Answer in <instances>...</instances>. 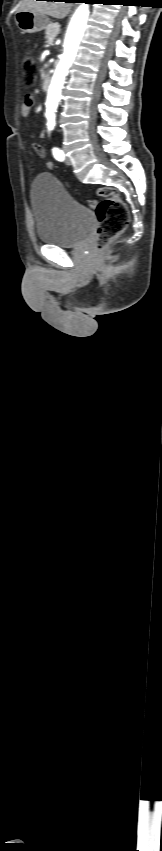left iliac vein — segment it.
Here are the masks:
<instances>
[{
    "label": "left iliac vein",
    "instance_id": "4c4485c4",
    "mask_svg": "<svg viewBox=\"0 0 162 851\" xmlns=\"http://www.w3.org/2000/svg\"><path fill=\"white\" fill-rule=\"evenodd\" d=\"M65 163H66L67 165H71V160H70V158H69V157H65Z\"/></svg>",
    "mask_w": 162,
    "mask_h": 851
}]
</instances>
